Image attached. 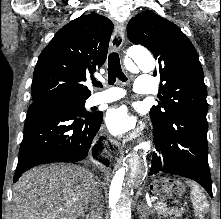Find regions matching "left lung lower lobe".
I'll return each instance as SVG.
<instances>
[{
  "label": "left lung lower lobe",
  "mask_w": 221,
  "mask_h": 219,
  "mask_svg": "<svg viewBox=\"0 0 221 219\" xmlns=\"http://www.w3.org/2000/svg\"><path fill=\"white\" fill-rule=\"evenodd\" d=\"M152 124L156 152L149 175L164 172L190 178L213 197L207 158V122L177 114L166 124Z\"/></svg>",
  "instance_id": "0a47b994"
}]
</instances>
